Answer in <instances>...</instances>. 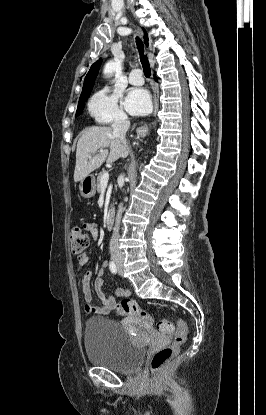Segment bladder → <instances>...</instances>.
Returning <instances> with one entry per match:
<instances>
[{
    "label": "bladder",
    "mask_w": 266,
    "mask_h": 415,
    "mask_svg": "<svg viewBox=\"0 0 266 415\" xmlns=\"http://www.w3.org/2000/svg\"><path fill=\"white\" fill-rule=\"evenodd\" d=\"M83 341L90 363L120 373L136 370L145 355V348L136 344L120 323L109 318H89Z\"/></svg>",
    "instance_id": "bladder-1"
}]
</instances>
